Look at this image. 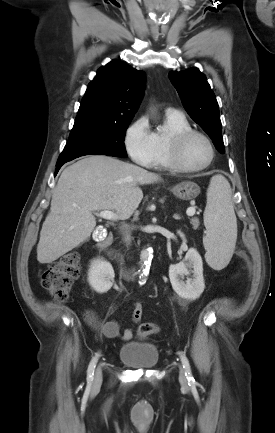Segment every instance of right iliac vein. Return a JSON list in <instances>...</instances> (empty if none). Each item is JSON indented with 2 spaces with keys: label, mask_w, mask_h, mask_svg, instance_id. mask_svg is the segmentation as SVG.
Returning a JSON list of instances; mask_svg holds the SVG:
<instances>
[{
  "label": "right iliac vein",
  "mask_w": 275,
  "mask_h": 433,
  "mask_svg": "<svg viewBox=\"0 0 275 433\" xmlns=\"http://www.w3.org/2000/svg\"><path fill=\"white\" fill-rule=\"evenodd\" d=\"M101 383H102V370L101 367L99 366L95 371V375L93 379V387H99Z\"/></svg>",
  "instance_id": "1"
}]
</instances>
